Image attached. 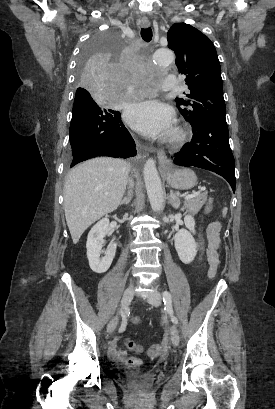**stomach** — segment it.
I'll use <instances>...</instances> for the list:
<instances>
[{"mask_svg":"<svg viewBox=\"0 0 275 409\" xmlns=\"http://www.w3.org/2000/svg\"><path fill=\"white\" fill-rule=\"evenodd\" d=\"M166 172V180L172 188H192L197 184V176L191 168H163Z\"/></svg>","mask_w":275,"mask_h":409,"instance_id":"obj_1","label":"stomach"}]
</instances>
